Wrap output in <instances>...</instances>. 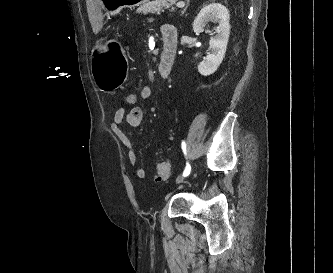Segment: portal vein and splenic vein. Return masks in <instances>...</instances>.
<instances>
[{"mask_svg": "<svg viewBox=\"0 0 333 273\" xmlns=\"http://www.w3.org/2000/svg\"><path fill=\"white\" fill-rule=\"evenodd\" d=\"M176 6L179 7V8H183L185 6V3L184 2H178L176 4Z\"/></svg>", "mask_w": 333, "mask_h": 273, "instance_id": "18ae733b", "label": "portal vein and splenic vein"}]
</instances>
